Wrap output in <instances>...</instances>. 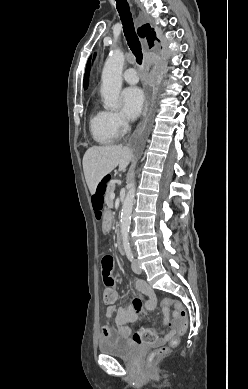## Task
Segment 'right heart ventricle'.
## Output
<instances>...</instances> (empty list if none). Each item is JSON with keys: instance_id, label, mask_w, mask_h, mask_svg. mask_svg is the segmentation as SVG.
<instances>
[{"instance_id": "right-heart-ventricle-1", "label": "right heart ventricle", "mask_w": 248, "mask_h": 389, "mask_svg": "<svg viewBox=\"0 0 248 389\" xmlns=\"http://www.w3.org/2000/svg\"><path fill=\"white\" fill-rule=\"evenodd\" d=\"M89 129L92 138L99 144H110L116 137L110 124L109 112L100 108H96L91 114Z\"/></svg>"}]
</instances>
